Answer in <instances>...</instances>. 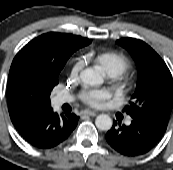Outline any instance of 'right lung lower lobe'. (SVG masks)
I'll return each mask as SVG.
<instances>
[{"mask_svg": "<svg viewBox=\"0 0 173 170\" xmlns=\"http://www.w3.org/2000/svg\"><path fill=\"white\" fill-rule=\"evenodd\" d=\"M10 118L21 137L39 149H49L66 140L79 119L75 114L58 115L51 107L24 111Z\"/></svg>", "mask_w": 173, "mask_h": 170, "instance_id": "obj_1", "label": "right lung lower lobe"}]
</instances>
